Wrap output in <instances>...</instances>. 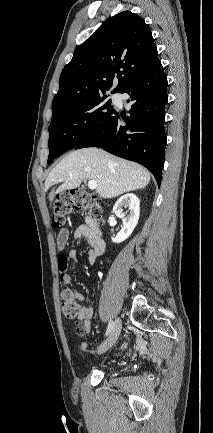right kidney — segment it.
<instances>
[{
    "label": "right kidney",
    "instance_id": "1",
    "mask_svg": "<svg viewBox=\"0 0 213 433\" xmlns=\"http://www.w3.org/2000/svg\"><path fill=\"white\" fill-rule=\"evenodd\" d=\"M128 207L129 215L126 216L123 208ZM113 213L122 219L123 228L112 237L114 243H121L126 240L136 227L140 216V201L135 194L129 193L121 196L113 207Z\"/></svg>",
    "mask_w": 213,
    "mask_h": 433
}]
</instances>
